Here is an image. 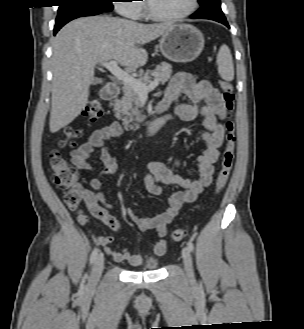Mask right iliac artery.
<instances>
[{"label": "right iliac artery", "mask_w": 304, "mask_h": 329, "mask_svg": "<svg viewBox=\"0 0 304 329\" xmlns=\"http://www.w3.org/2000/svg\"><path fill=\"white\" fill-rule=\"evenodd\" d=\"M98 252H99V249L98 248H95L92 253H91V256H90V265H92L94 263V261L96 260V257L98 255ZM87 276V275H86Z\"/></svg>", "instance_id": "obj_1"}]
</instances>
